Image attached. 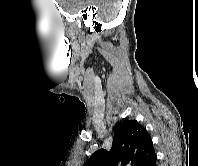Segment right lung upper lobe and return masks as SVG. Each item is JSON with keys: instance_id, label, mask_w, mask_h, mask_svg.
<instances>
[{"instance_id": "cb5924a9", "label": "right lung upper lobe", "mask_w": 198, "mask_h": 166, "mask_svg": "<svg viewBox=\"0 0 198 166\" xmlns=\"http://www.w3.org/2000/svg\"><path fill=\"white\" fill-rule=\"evenodd\" d=\"M154 155L146 129L135 120H125L115 129L110 151H96L84 166H145Z\"/></svg>"}]
</instances>
